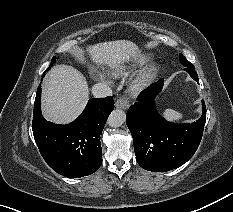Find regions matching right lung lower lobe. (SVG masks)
I'll return each mask as SVG.
<instances>
[{"mask_svg": "<svg viewBox=\"0 0 233 212\" xmlns=\"http://www.w3.org/2000/svg\"><path fill=\"white\" fill-rule=\"evenodd\" d=\"M113 109L112 97L90 99L77 119L67 125H58L46 121L42 116L39 86L32 130L46 163L57 173L69 178L94 173L102 163L100 135Z\"/></svg>", "mask_w": 233, "mask_h": 212, "instance_id": "obj_1", "label": "right lung lower lobe"}]
</instances>
